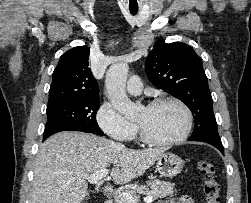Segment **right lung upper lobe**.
I'll list each match as a JSON object with an SVG mask.
<instances>
[{
	"mask_svg": "<svg viewBox=\"0 0 251 203\" xmlns=\"http://www.w3.org/2000/svg\"><path fill=\"white\" fill-rule=\"evenodd\" d=\"M89 48L65 52L53 72L48 107L81 99L98 98V83L88 67Z\"/></svg>",
	"mask_w": 251,
	"mask_h": 203,
	"instance_id": "obj_1",
	"label": "right lung upper lobe"
}]
</instances>
